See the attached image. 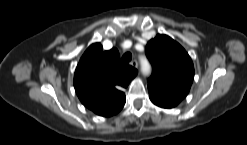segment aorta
Wrapping results in <instances>:
<instances>
[{
    "instance_id": "762f6f07",
    "label": "aorta",
    "mask_w": 247,
    "mask_h": 145,
    "mask_svg": "<svg viewBox=\"0 0 247 145\" xmlns=\"http://www.w3.org/2000/svg\"><path fill=\"white\" fill-rule=\"evenodd\" d=\"M141 69L145 75H148L150 73L151 67L146 60L141 62Z\"/></svg>"
}]
</instances>
